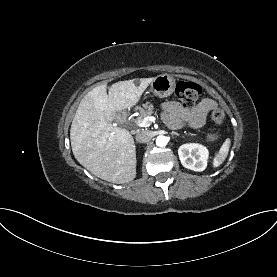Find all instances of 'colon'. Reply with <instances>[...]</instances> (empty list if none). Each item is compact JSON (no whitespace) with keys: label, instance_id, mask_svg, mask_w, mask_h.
Masks as SVG:
<instances>
[{"label":"colon","instance_id":"1","mask_svg":"<svg viewBox=\"0 0 277 277\" xmlns=\"http://www.w3.org/2000/svg\"><path fill=\"white\" fill-rule=\"evenodd\" d=\"M176 95L182 104L186 107L193 106L202 95V88L199 84L190 81H180L176 85ZM225 119V114L222 109H215L211 113V120L220 125ZM219 136V131L206 129L203 132V139L206 142H213Z\"/></svg>","mask_w":277,"mask_h":277}]
</instances>
